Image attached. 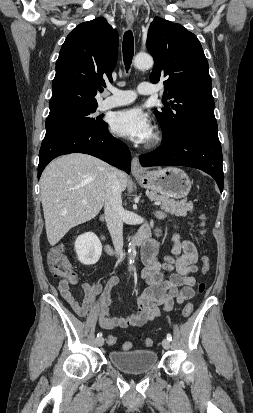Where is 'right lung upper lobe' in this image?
I'll return each instance as SVG.
<instances>
[{"mask_svg": "<svg viewBox=\"0 0 253 413\" xmlns=\"http://www.w3.org/2000/svg\"><path fill=\"white\" fill-rule=\"evenodd\" d=\"M118 42L117 31L103 17L81 23L68 34L56 61L49 116L97 107V92L106 80L112 82Z\"/></svg>", "mask_w": 253, "mask_h": 413, "instance_id": "1", "label": "right lung upper lobe"}]
</instances>
